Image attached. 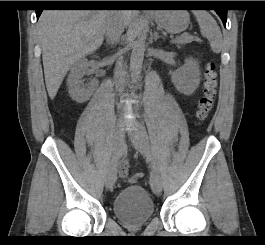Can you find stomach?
Returning <instances> with one entry per match:
<instances>
[{
    "label": "stomach",
    "instance_id": "0dacf381",
    "mask_svg": "<svg viewBox=\"0 0 265 245\" xmlns=\"http://www.w3.org/2000/svg\"><path fill=\"white\" fill-rule=\"evenodd\" d=\"M153 18L159 27L173 34L186 30L190 22L185 10H159L153 13Z\"/></svg>",
    "mask_w": 265,
    "mask_h": 245
}]
</instances>
